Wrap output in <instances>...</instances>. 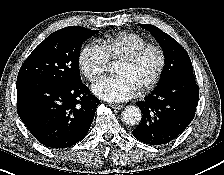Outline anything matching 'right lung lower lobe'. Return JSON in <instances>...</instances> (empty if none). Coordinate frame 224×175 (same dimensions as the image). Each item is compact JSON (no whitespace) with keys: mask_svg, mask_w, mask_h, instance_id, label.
<instances>
[{"mask_svg":"<svg viewBox=\"0 0 224 175\" xmlns=\"http://www.w3.org/2000/svg\"><path fill=\"white\" fill-rule=\"evenodd\" d=\"M98 105L82 82L17 79L18 115L31 134L50 148H66L82 140Z\"/></svg>","mask_w":224,"mask_h":175,"instance_id":"right-lung-lower-lobe-1","label":"right lung lower lobe"}]
</instances>
